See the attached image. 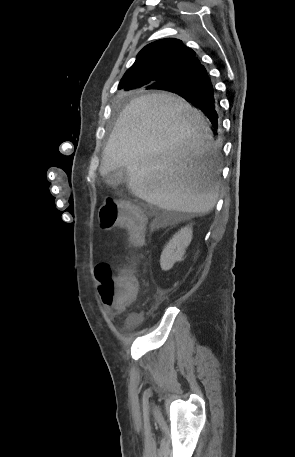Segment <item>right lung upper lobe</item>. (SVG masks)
Masks as SVG:
<instances>
[{
    "label": "right lung upper lobe",
    "instance_id": "obj_1",
    "mask_svg": "<svg viewBox=\"0 0 295 457\" xmlns=\"http://www.w3.org/2000/svg\"><path fill=\"white\" fill-rule=\"evenodd\" d=\"M196 53L183 45L181 40L167 38L145 46L137 55L135 63L126 71L118 88L131 90L171 81L191 61Z\"/></svg>",
    "mask_w": 295,
    "mask_h": 457
}]
</instances>
